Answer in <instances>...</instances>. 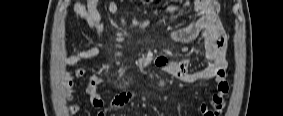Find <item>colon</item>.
<instances>
[{
	"label": "colon",
	"mask_w": 283,
	"mask_h": 116,
	"mask_svg": "<svg viewBox=\"0 0 283 116\" xmlns=\"http://www.w3.org/2000/svg\"><path fill=\"white\" fill-rule=\"evenodd\" d=\"M221 110H222V109H220V111H219V112L215 113V115L219 114V113L221 112Z\"/></svg>",
	"instance_id": "colon-1"
}]
</instances>
